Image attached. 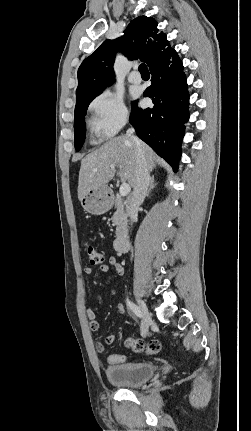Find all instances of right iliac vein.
I'll return each instance as SVG.
<instances>
[{
  "label": "right iliac vein",
  "instance_id": "1",
  "mask_svg": "<svg viewBox=\"0 0 251 431\" xmlns=\"http://www.w3.org/2000/svg\"><path fill=\"white\" fill-rule=\"evenodd\" d=\"M137 302L142 313V334L143 336H146L151 324V316L144 301L137 298Z\"/></svg>",
  "mask_w": 251,
  "mask_h": 431
}]
</instances>
